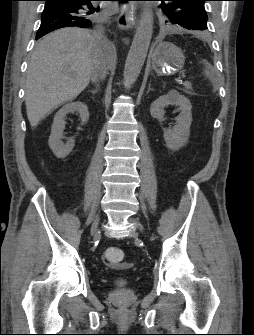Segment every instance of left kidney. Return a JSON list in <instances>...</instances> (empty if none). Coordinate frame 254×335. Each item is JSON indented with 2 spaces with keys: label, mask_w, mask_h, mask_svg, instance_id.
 <instances>
[{
  "label": "left kidney",
  "mask_w": 254,
  "mask_h": 335,
  "mask_svg": "<svg viewBox=\"0 0 254 335\" xmlns=\"http://www.w3.org/2000/svg\"><path fill=\"white\" fill-rule=\"evenodd\" d=\"M168 105H178L180 110L173 128L164 129L166 146L176 151L188 142L192 122V105L186 97L180 95L176 90H171L167 95L160 96L151 104V116L162 121L165 114L164 108Z\"/></svg>",
  "instance_id": "left-kidney-1"
}]
</instances>
